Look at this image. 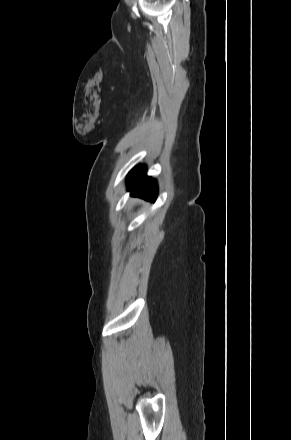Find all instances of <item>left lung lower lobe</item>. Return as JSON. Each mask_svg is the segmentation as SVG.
<instances>
[{"instance_id": "left-lung-lower-lobe-1", "label": "left lung lower lobe", "mask_w": 291, "mask_h": 440, "mask_svg": "<svg viewBox=\"0 0 291 440\" xmlns=\"http://www.w3.org/2000/svg\"><path fill=\"white\" fill-rule=\"evenodd\" d=\"M143 166H136L127 177L128 190L131 196H137L154 202L157 196V185L154 180L145 175Z\"/></svg>"}]
</instances>
